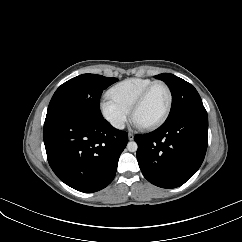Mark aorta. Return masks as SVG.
I'll list each match as a JSON object with an SVG mask.
<instances>
[{
  "instance_id": "aorta-1",
  "label": "aorta",
  "mask_w": 242,
  "mask_h": 242,
  "mask_svg": "<svg viewBox=\"0 0 242 242\" xmlns=\"http://www.w3.org/2000/svg\"><path fill=\"white\" fill-rule=\"evenodd\" d=\"M127 149L130 152H136L138 149V145L136 142L132 141L127 144Z\"/></svg>"
}]
</instances>
